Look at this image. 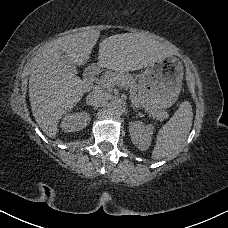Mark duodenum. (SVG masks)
<instances>
[{"instance_id":"410a0bca","label":"duodenum","mask_w":228,"mask_h":228,"mask_svg":"<svg viewBox=\"0 0 228 228\" xmlns=\"http://www.w3.org/2000/svg\"><path fill=\"white\" fill-rule=\"evenodd\" d=\"M85 76L87 77L86 80L94 78L96 76V69L94 67H87L85 69Z\"/></svg>"}]
</instances>
